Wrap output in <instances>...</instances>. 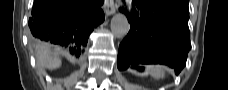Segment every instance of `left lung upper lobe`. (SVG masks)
Instances as JSON below:
<instances>
[{
	"label": "left lung upper lobe",
	"instance_id": "1",
	"mask_svg": "<svg viewBox=\"0 0 228 90\" xmlns=\"http://www.w3.org/2000/svg\"><path fill=\"white\" fill-rule=\"evenodd\" d=\"M171 1L176 2V1H179V0H171ZM182 1H184L183 2L184 5L181 6V9H183L184 11H189V8H188V2L189 1L188 0H182Z\"/></svg>",
	"mask_w": 228,
	"mask_h": 90
}]
</instances>
